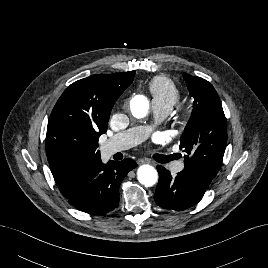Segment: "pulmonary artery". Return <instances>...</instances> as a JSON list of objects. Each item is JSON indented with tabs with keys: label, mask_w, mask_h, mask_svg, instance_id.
I'll return each instance as SVG.
<instances>
[{
	"label": "pulmonary artery",
	"mask_w": 268,
	"mask_h": 268,
	"mask_svg": "<svg viewBox=\"0 0 268 268\" xmlns=\"http://www.w3.org/2000/svg\"><path fill=\"white\" fill-rule=\"evenodd\" d=\"M159 118H165L169 115L170 110L165 107H161L152 103ZM150 133V129L146 127H133L124 132L110 137L106 143L102 146V150L105 154L110 155L118 151L128 149L135 146ZM184 168V162H175L171 166L172 171L180 172Z\"/></svg>",
	"instance_id": "1"
}]
</instances>
